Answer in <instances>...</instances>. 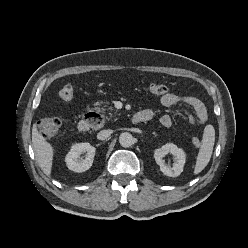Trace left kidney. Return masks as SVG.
Segmentation results:
<instances>
[{"mask_svg":"<svg viewBox=\"0 0 248 248\" xmlns=\"http://www.w3.org/2000/svg\"><path fill=\"white\" fill-rule=\"evenodd\" d=\"M171 153L176 158V163L171 167L165 164L163 158L166 154ZM154 158L159 165L161 172L169 177H177L183 172L185 164V153L173 143H167L161 148L154 151Z\"/></svg>","mask_w":248,"mask_h":248,"instance_id":"left-kidney-1","label":"left kidney"}]
</instances>
